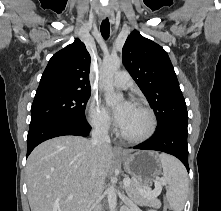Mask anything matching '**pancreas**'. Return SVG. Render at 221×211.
Returning <instances> with one entry per match:
<instances>
[{
	"label": "pancreas",
	"mask_w": 221,
	"mask_h": 211,
	"mask_svg": "<svg viewBox=\"0 0 221 211\" xmlns=\"http://www.w3.org/2000/svg\"><path fill=\"white\" fill-rule=\"evenodd\" d=\"M126 193L131 199L132 202H135L137 204L141 205H150L154 207H159L160 201L154 197H145L142 193L141 190H147L145 186H143L140 182L137 180H131V183L125 187ZM159 195V194H156Z\"/></svg>",
	"instance_id": "cf45deb5"
}]
</instances>
